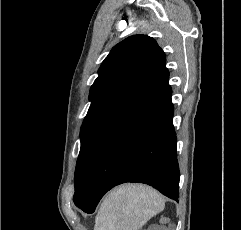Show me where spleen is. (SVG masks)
Masks as SVG:
<instances>
[{"mask_svg":"<svg viewBox=\"0 0 241 230\" xmlns=\"http://www.w3.org/2000/svg\"><path fill=\"white\" fill-rule=\"evenodd\" d=\"M164 206L162 195L151 187L122 185L104 198L95 218L94 230H139Z\"/></svg>","mask_w":241,"mask_h":230,"instance_id":"obj_1","label":"spleen"}]
</instances>
